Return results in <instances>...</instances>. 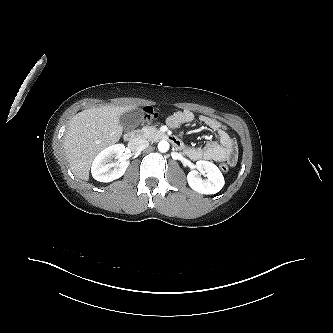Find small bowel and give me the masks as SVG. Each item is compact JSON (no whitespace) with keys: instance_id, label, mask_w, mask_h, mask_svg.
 Here are the masks:
<instances>
[{"instance_id":"c3829d8e","label":"small bowel","mask_w":333,"mask_h":333,"mask_svg":"<svg viewBox=\"0 0 333 333\" xmlns=\"http://www.w3.org/2000/svg\"><path fill=\"white\" fill-rule=\"evenodd\" d=\"M194 119L193 112L181 110L170 115L166 122L169 127L176 128L183 123L192 122ZM198 120L215 133L217 141H208L201 147H186L184 149L185 154L195 161H227L230 165H234L237 161L238 147L236 140L229 135L227 126L206 115H200Z\"/></svg>"}]
</instances>
